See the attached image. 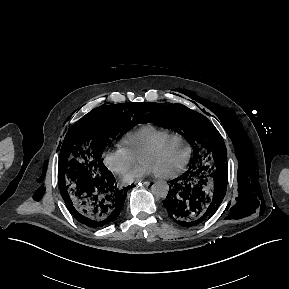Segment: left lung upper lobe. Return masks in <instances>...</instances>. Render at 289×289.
<instances>
[{
  "label": "left lung upper lobe",
  "mask_w": 289,
  "mask_h": 289,
  "mask_svg": "<svg viewBox=\"0 0 289 289\" xmlns=\"http://www.w3.org/2000/svg\"><path fill=\"white\" fill-rule=\"evenodd\" d=\"M141 122L180 133L193 148L190 168L207 166L212 170L227 163V150L223 138L209 120L182 104L164 106L160 103H142Z\"/></svg>",
  "instance_id": "left-lung-upper-lobe-1"
}]
</instances>
